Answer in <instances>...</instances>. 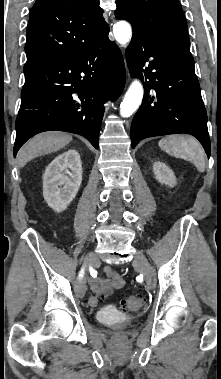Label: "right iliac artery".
<instances>
[{
    "mask_svg": "<svg viewBox=\"0 0 221 379\" xmlns=\"http://www.w3.org/2000/svg\"><path fill=\"white\" fill-rule=\"evenodd\" d=\"M84 274V268L80 271L79 278H82Z\"/></svg>",
    "mask_w": 221,
    "mask_h": 379,
    "instance_id": "1",
    "label": "right iliac artery"
}]
</instances>
